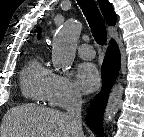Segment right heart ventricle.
<instances>
[{
  "label": "right heart ventricle",
  "mask_w": 144,
  "mask_h": 137,
  "mask_svg": "<svg viewBox=\"0 0 144 137\" xmlns=\"http://www.w3.org/2000/svg\"><path fill=\"white\" fill-rule=\"evenodd\" d=\"M53 76V72L40 56L32 57L21 73L22 94L37 103L46 102Z\"/></svg>",
  "instance_id": "obj_1"
}]
</instances>
